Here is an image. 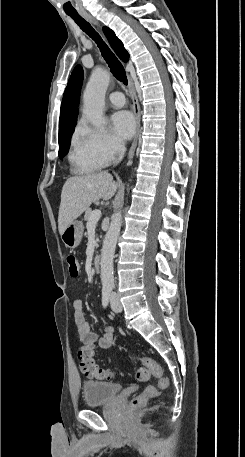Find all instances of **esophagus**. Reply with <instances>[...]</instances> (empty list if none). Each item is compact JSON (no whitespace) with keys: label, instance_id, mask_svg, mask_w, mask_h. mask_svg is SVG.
Listing matches in <instances>:
<instances>
[{"label":"esophagus","instance_id":"esophagus-1","mask_svg":"<svg viewBox=\"0 0 245 457\" xmlns=\"http://www.w3.org/2000/svg\"><path fill=\"white\" fill-rule=\"evenodd\" d=\"M82 15L85 18H87L88 20H90V22L94 23L95 25L98 24L97 21L91 15H89L88 13L84 12V13H82ZM128 81H129V93H130V96H131V99H132V107H133V111H134V117H135V120H136V131H135V135H134V140H133V143H132L131 148H130L129 153H128V159L131 160L133 158L135 150H136L139 131H140V106H139V103H138L136 90L134 88V83H133L130 75L128 76Z\"/></svg>","mask_w":245,"mask_h":457}]
</instances>
